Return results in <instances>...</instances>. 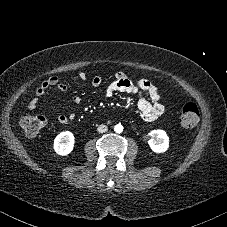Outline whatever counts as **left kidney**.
<instances>
[{"mask_svg": "<svg viewBox=\"0 0 227 227\" xmlns=\"http://www.w3.org/2000/svg\"><path fill=\"white\" fill-rule=\"evenodd\" d=\"M148 138V144L155 153H163L169 148V137L164 130H152L148 133Z\"/></svg>", "mask_w": 227, "mask_h": 227, "instance_id": "5707ae66", "label": "left kidney"}]
</instances>
